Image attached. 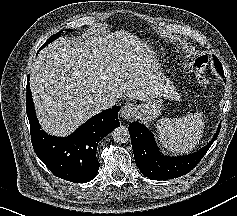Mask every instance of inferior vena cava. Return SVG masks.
<instances>
[{
    "label": "inferior vena cava",
    "mask_w": 237,
    "mask_h": 216,
    "mask_svg": "<svg viewBox=\"0 0 237 216\" xmlns=\"http://www.w3.org/2000/svg\"><path fill=\"white\" fill-rule=\"evenodd\" d=\"M100 104L102 105V109L115 106L117 105V98L111 94L101 96Z\"/></svg>",
    "instance_id": "inferior-vena-cava-1"
}]
</instances>
